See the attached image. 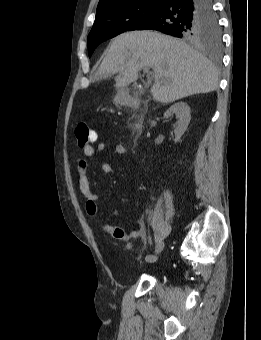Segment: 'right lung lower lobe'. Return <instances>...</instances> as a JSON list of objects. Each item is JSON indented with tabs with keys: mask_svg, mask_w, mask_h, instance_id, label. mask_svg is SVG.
Returning <instances> with one entry per match:
<instances>
[{
	"mask_svg": "<svg viewBox=\"0 0 261 340\" xmlns=\"http://www.w3.org/2000/svg\"><path fill=\"white\" fill-rule=\"evenodd\" d=\"M211 13L212 0H162L155 13L134 30H157L181 37L188 19Z\"/></svg>",
	"mask_w": 261,
	"mask_h": 340,
	"instance_id": "1",
	"label": "right lung lower lobe"
}]
</instances>
